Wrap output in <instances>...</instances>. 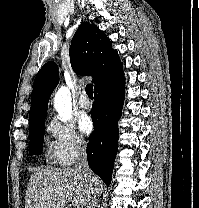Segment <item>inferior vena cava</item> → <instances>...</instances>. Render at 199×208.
I'll use <instances>...</instances> for the list:
<instances>
[{"mask_svg": "<svg viewBox=\"0 0 199 208\" xmlns=\"http://www.w3.org/2000/svg\"><path fill=\"white\" fill-rule=\"evenodd\" d=\"M75 169L82 173L85 177L92 178V172L88 166L86 148L83 142H80L77 147V153L75 157ZM97 205V197L90 200L87 204V208H95Z\"/></svg>", "mask_w": 199, "mask_h": 208, "instance_id": "1", "label": "inferior vena cava"}]
</instances>
